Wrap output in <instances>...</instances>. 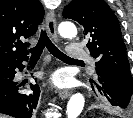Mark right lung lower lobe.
<instances>
[{
  "mask_svg": "<svg viewBox=\"0 0 133 118\" xmlns=\"http://www.w3.org/2000/svg\"><path fill=\"white\" fill-rule=\"evenodd\" d=\"M20 60L7 67V73L0 78V113L13 116L15 118H31L33 109L36 108L39 99L40 89L38 85L30 84L33 93H26L23 89V83L13 81L15 69L23 70Z\"/></svg>",
  "mask_w": 133,
  "mask_h": 118,
  "instance_id": "98d812e1",
  "label": "right lung lower lobe"
}]
</instances>
